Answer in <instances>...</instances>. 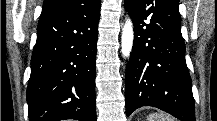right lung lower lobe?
<instances>
[{"label": "right lung lower lobe", "mask_w": 217, "mask_h": 121, "mask_svg": "<svg viewBox=\"0 0 217 121\" xmlns=\"http://www.w3.org/2000/svg\"><path fill=\"white\" fill-rule=\"evenodd\" d=\"M100 0L41 13L27 87L30 121H96Z\"/></svg>", "instance_id": "right-lung-lower-lobe-1"}]
</instances>
